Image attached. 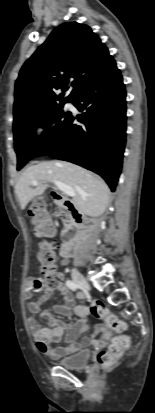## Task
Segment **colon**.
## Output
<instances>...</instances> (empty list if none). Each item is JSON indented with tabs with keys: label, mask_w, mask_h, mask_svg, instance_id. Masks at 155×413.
<instances>
[{
	"label": "colon",
	"mask_w": 155,
	"mask_h": 413,
	"mask_svg": "<svg viewBox=\"0 0 155 413\" xmlns=\"http://www.w3.org/2000/svg\"><path fill=\"white\" fill-rule=\"evenodd\" d=\"M28 215L37 236L44 237L51 233L52 221L42 200H37L32 204L28 210ZM38 259L41 264V273L45 285L50 288L56 287L60 282V276L55 264L54 245L48 243L41 244L38 249ZM91 312L95 317L103 320L109 329L118 334L113 338L108 349L99 352L97 355V362L101 366H111L130 347V337L123 334L126 328L125 323L112 314L107 306L99 300L91 303Z\"/></svg>",
	"instance_id": "obj_1"
}]
</instances>
